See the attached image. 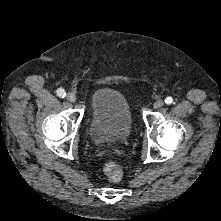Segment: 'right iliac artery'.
Returning <instances> with one entry per match:
<instances>
[{
	"instance_id": "right-iliac-artery-1",
	"label": "right iliac artery",
	"mask_w": 221,
	"mask_h": 221,
	"mask_svg": "<svg viewBox=\"0 0 221 221\" xmlns=\"http://www.w3.org/2000/svg\"><path fill=\"white\" fill-rule=\"evenodd\" d=\"M57 95H58L59 97H61V98H64L65 95H66V92H65L64 89L59 88V89H57Z\"/></svg>"
}]
</instances>
